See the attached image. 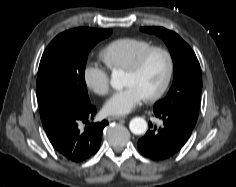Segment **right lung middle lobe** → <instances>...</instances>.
<instances>
[{
    "label": "right lung middle lobe",
    "instance_id": "1",
    "mask_svg": "<svg viewBox=\"0 0 236 187\" xmlns=\"http://www.w3.org/2000/svg\"><path fill=\"white\" fill-rule=\"evenodd\" d=\"M112 30L76 28L59 34L44 51L37 75V99L47 131L61 117L90 102L85 83L88 53Z\"/></svg>",
    "mask_w": 236,
    "mask_h": 187
}]
</instances>
